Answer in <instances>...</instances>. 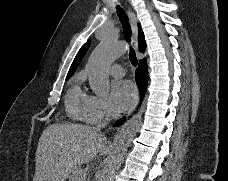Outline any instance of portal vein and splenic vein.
Masks as SVG:
<instances>
[{
	"mask_svg": "<svg viewBox=\"0 0 228 181\" xmlns=\"http://www.w3.org/2000/svg\"><path fill=\"white\" fill-rule=\"evenodd\" d=\"M83 173H87V169H84ZM81 179H84V177H86V175H80Z\"/></svg>",
	"mask_w": 228,
	"mask_h": 181,
	"instance_id": "18ae733b",
	"label": "portal vein and splenic vein"
}]
</instances>
